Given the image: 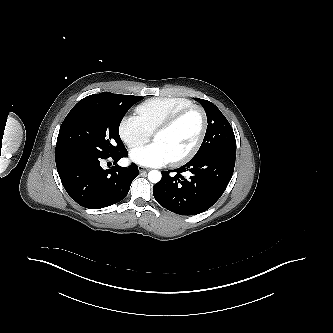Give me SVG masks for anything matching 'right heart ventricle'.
I'll list each match as a JSON object with an SVG mask.
<instances>
[{
  "label": "right heart ventricle",
  "instance_id": "e07e8e85",
  "mask_svg": "<svg viewBox=\"0 0 333 333\" xmlns=\"http://www.w3.org/2000/svg\"><path fill=\"white\" fill-rule=\"evenodd\" d=\"M193 105L190 99L182 97H157L144 101L136 108L137 116L150 133L183 108Z\"/></svg>",
  "mask_w": 333,
  "mask_h": 333
}]
</instances>
